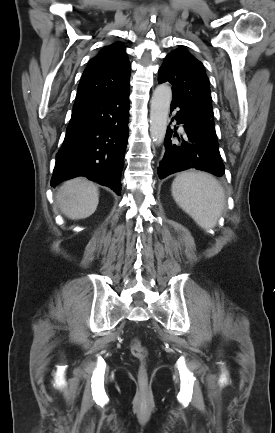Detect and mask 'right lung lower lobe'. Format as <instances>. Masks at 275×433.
<instances>
[{
    "label": "right lung lower lobe",
    "instance_id": "98d812e1",
    "mask_svg": "<svg viewBox=\"0 0 275 433\" xmlns=\"http://www.w3.org/2000/svg\"><path fill=\"white\" fill-rule=\"evenodd\" d=\"M129 90L73 106L51 186L84 176L121 193L128 140Z\"/></svg>",
    "mask_w": 275,
    "mask_h": 433
}]
</instances>
